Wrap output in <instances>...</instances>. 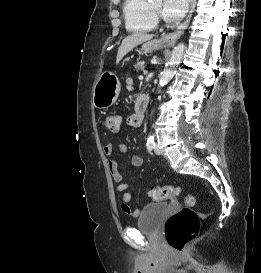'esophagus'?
<instances>
[{"label": "esophagus", "instance_id": "34e87169", "mask_svg": "<svg viewBox=\"0 0 261 273\" xmlns=\"http://www.w3.org/2000/svg\"><path fill=\"white\" fill-rule=\"evenodd\" d=\"M194 3L195 0H192L191 2V8L189 11L188 16L186 17L185 21L177 28V30H175L172 33H168V34H162L161 35V41L167 45H174L175 42L180 38V36L183 34L184 30L188 27L192 13H193V9H194Z\"/></svg>", "mask_w": 261, "mask_h": 273}]
</instances>
